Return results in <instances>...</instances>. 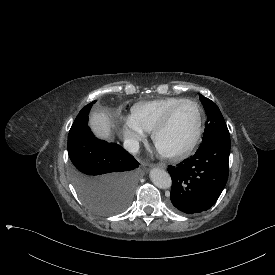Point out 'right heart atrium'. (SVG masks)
Returning <instances> with one entry per match:
<instances>
[{"mask_svg": "<svg viewBox=\"0 0 275 275\" xmlns=\"http://www.w3.org/2000/svg\"><path fill=\"white\" fill-rule=\"evenodd\" d=\"M111 125L116 134L122 138L129 147H136L144 138V132L130 120L116 118Z\"/></svg>", "mask_w": 275, "mask_h": 275, "instance_id": "obj_1", "label": "right heart atrium"}]
</instances>
